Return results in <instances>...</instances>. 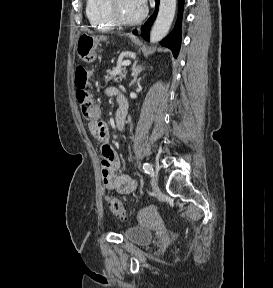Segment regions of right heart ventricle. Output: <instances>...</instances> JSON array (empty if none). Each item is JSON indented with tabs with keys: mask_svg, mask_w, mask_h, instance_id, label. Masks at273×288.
<instances>
[{
	"mask_svg": "<svg viewBox=\"0 0 273 288\" xmlns=\"http://www.w3.org/2000/svg\"><path fill=\"white\" fill-rule=\"evenodd\" d=\"M86 15L96 29L110 30L116 25L106 15L105 0H86Z\"/></svg>",
	"mask_w": 273,
	"mask_h": 288,
	"instance_id": "e07e8e85",
	"label": "right heart ventricle"
}]
</instances>
